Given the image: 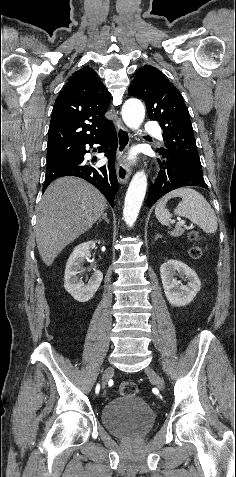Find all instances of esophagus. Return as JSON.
I'll list each match as a JSON object with an SVG mask.
<instances>
[{
    "label": "esophagus",
    "mask_w": 236,
    "mask_h": 477,
    "mask_svg": "<svg viewBox=\"0 0 236 477\" xmlns=\"http://www.w3.org/2000/svg\"><path fill=\"white\" fill-rule=\"evenodd\" d=\"M114 125L116 128L117 138H118L116 173H117L118 181L124 184L128 181L131 175V166L125 160V155L131 141V134L117 116H115Z\"/></svg>",
    "instance_id": "esophagus-1"
}]
</instances>
